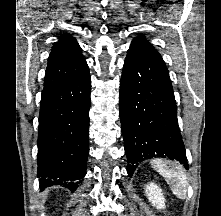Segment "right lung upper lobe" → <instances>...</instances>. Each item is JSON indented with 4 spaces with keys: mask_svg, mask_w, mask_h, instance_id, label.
Instances as JSON below:
<instances>
[{
    "mask_svg": "<svg viewBox=\"0 0 221 216\" xmlns=\"http://www.w3.org/2000/svg\"><path fill=\"white\" fill-rule=\"evenodd\" d=\"M88 70L82 57V49L70 34H64L56 42L48 58L43 92Z\"/></svg>",
    "mask_w": 221,
    "mask_h": 216,
    "instance_id": "cb5924a9",
    "label": "right lung upper lobe"
}]
</instances>
